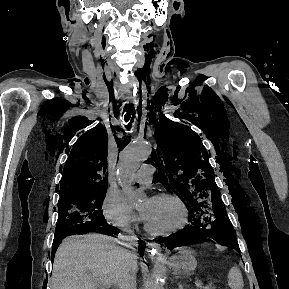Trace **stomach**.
<instances>
[{
    "label": "stomach",
    "mask_w": 289,
    "mask_h": 289,
    "mask_svg": "<svg viewBox=\"0 0 289 289\" xmlns=\"http://www.w3.org/2000/svg\"><path fill=\"white\" fill-rule=\"evenodd\" d=\"M170 268L177 275H189L194 272L197 267V261L194 251L190 248H181L178 254L170 257Z\"/></svg>",
    "instance_id": "obj_1"
}]
</instances>
